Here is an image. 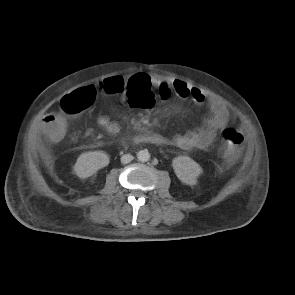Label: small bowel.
Returning <instances> with one entry per match:
<instances>
[{"instance_id":"small-bowel-1","label":"small bowel","mask_w":295,"mask_h":295,"mask_svg":"<svg viewBox=\"0 0 295 295\" xmlns=\"http://www.w3.org/2000/svg\"><path fill=\"white\" fill-rule=\"evenodd\" d=\"M116 78L118 77L110 78L108 80ZM125 84L127 87H156L159 89V93L164 89H167L170 94L173 93L181 99H190L197 104H208L211 112L205 126L199 130L177 134L171 137H165L158 133H148L137 136L135 138L136 142L150 143L157 146L171 145L183 150H205L212 145L218 131L225 127L229 122V112L225 105L219 101L207 98L200 89L189 85L184 81L138 72L129 76L125 80ZM121 97L126 101L125 92ZM54 115L55 113H52L44 118L41 127L45 133L46 129L53 121ZM98 123L110 134H117L120 131L119 123L107 115L99 116Z\"/></svg>"}]
</instances>
